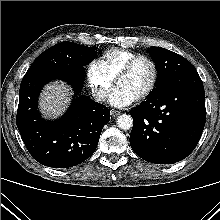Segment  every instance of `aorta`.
Listing matches in <instances>:
<instances>
[{"label":"aorta","mask_w":220,"mask_h":220,"mask_svg":"<svg viewBox=\"0 0 220 220\" xmlns=\"http://www.w3.org/2000/svg\"><path fill=\"white\" fill-rule=\"evenodd\" d=\"M117 126L122 130H129L133 126V119L128 114H122L117 118Z\"/></svg>","instance_id":"aorta-1"}]
</instances>
